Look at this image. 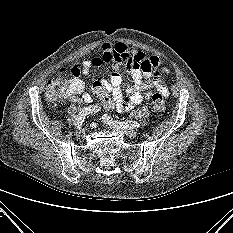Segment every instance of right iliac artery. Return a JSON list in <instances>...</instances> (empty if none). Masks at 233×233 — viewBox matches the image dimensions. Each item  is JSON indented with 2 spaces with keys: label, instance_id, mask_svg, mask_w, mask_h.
Returning <instances> with one entry per match:
<instances>
[{
  "label": "right iliac artery",
  "instance_id": "obj_1",
  "mask_svg": "<svg viewBox=\"0 0 233 233\" xmlns=\"http://www.w3.org/2000/svg\"><path fill=\"white\" fill-rule=\"evenodd\" d=\"M99 110H100V106H97V105L96 106H89V107L82 109L75 119V127L78 129H81L85 117L88 114L95 113Z\"/></svg>",
  "mask_w": 233,
  "mask_h": 233
}]
</instances>
